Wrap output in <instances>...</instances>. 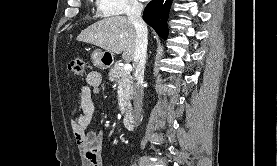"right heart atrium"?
<instances>
[{
    "mask_svg": "<svg viewBox=\"0 0 277 166\" xmlns=\"http://www.w3.org/2000/svg\"><path fill=\"white\" fill-rule=\"evenodd\" d=\"M99 13L105 16L129 14L140 10L139 0H96Z\"/></svg>",
    "mask_w": 277,
    "mask_h": 166,
    "instance_id": "1",
    "label": "right heart atrium"
}]
</instances>
